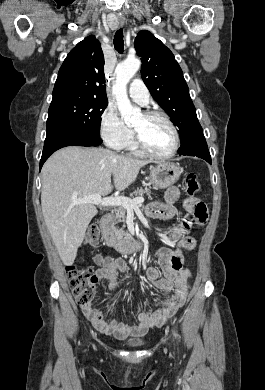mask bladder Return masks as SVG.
I'll return each mask as SVG.
<instances>
[{
	"mask_svg": "<svg viewBox=\"0 0 265 390\" xmlns=\"http://www.w3.org/2000/svg\"><path fill=\"white\" fill-rule=\"evenodd\" d=\"M125 345L131 348H139L145 345V340L141 338H131L125 341Z\"/></svg>",
	"mask_w": 265,
	"mask_h": 390,
	"instance_id": "bladder-1",
	"label": "bladder"
}]
</instances>
